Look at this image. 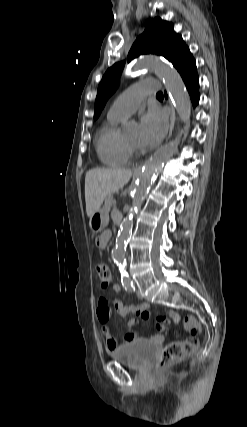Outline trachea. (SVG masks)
Instances as JSON below:
<instances>
[{
  "instance_id": "3493384b",
  "label": "trachea",
  "mask_w": 247,
  "mask_h": 427,
  "mask_svg": "<svg viewBox=\"0 0 247 427\" xmlns=\"http://www.w3.org/2000/svg\"><path fill=\"white\" fill-rule=\"evenodd\" d=\"M156 96H157V97H162V96H163V94H162V92H158V93L156 94Z\"/></svg>"
}]
</instances>
